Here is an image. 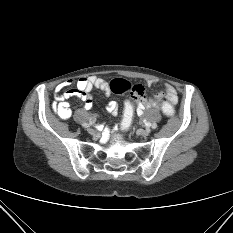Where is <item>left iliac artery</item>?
Returning a JSON list of instances; mask_svg holds the SVG:
<instances>
[{"mask_svg": "<svg viewBox=\"0 0 233 233\" xmlns=\"http://www.w3.org/2000/svg\"><path fill=\"white\" fill-rule=\"evenodd\" d=\"M151 127H152L151 129L154 131L156 129V127H157V123L153 122Z\"/></svg>", "mask_w": 233, "mask_h": 233, "instance_id": "left-iliac-artery-1", "label": "left iliac artery"}]
</instances>
